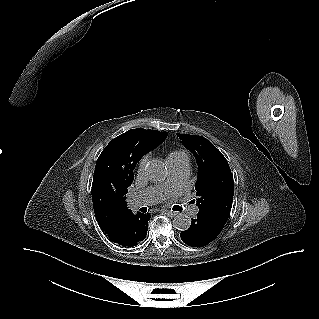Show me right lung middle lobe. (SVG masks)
Listing matches in <instances>:
<instances>
[{
  "label": "right lung middle lobe",
  "instance_id": "right-lung-middle-lobe-1",
  "mask_svg": "<svg viewBox=\"0 0 319 319\" xmlns=\"http://www.w3.org/2000/svg\"><path fill=\"white\" fill-rule=\"evenodd\" d=\"M138 161L126 146L111 141L108 143L100 154L94 171L91 189L94 209L124 202Z\"/></svg>",
  "mask_w": 319,
  "mask_h": 319
}]
</instances>
